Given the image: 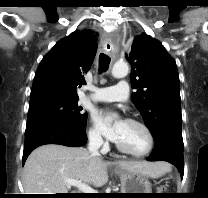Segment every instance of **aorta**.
I'll list each match as a JSON object with an SVG mask.
<instances>
[{
	"mask_svg": "<svg viewBox=\"0 0 208 198\" xmlns=\"http://www.w3.org/2000/svg\"><path fill=\"white\" fill-rule=\"evenodd\" d=\"M128 65L124 62H116L112 68V76L115 78H123L128 74Z\"/></svg>",
	"mask_w": 208,
	"mask_h": 198,
	"instance_id": "1",
	"label": "aorta"
}]
</instances>
